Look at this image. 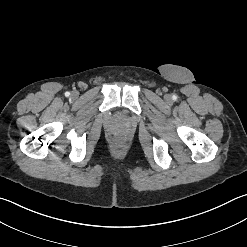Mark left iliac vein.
<instances>
[{
  "mask_svg": "<svg viewBox=\"0 0 247 247\" xmlns=\"http://www.w3.org/2000/svg\"><path fill=\"white\" fill-rule=\"evenodd\" d=\"M165 99H166L167 101H170V100H171V98H170L169 95H166V96H165Z\"/></svg>",
  "mask_w": 247,
  "mask_h": 247,
  "instance_id": "left-iliac-vein-1",
  "label": "left iliac vein"
}]
</instances>
